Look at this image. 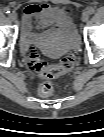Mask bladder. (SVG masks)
<instances>
[{
  "instance_id": "bladder-1",
  "label": "bladder",
  "mask_w": 104,
  "mask_h": 137,
  "mask_svg": "<svg viewBox=\"0 0 104 137\" xmlns=\"http://www.w3.org/2000/svg\"><path fill=\"white\" fill-rule=\"evenodd\" d=\"M78 38L62 34L60 30L42 35L37 40L40 51L47 57L59 58L78 46Z\"/></svg>"
}]
</instances>
